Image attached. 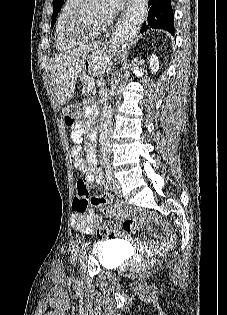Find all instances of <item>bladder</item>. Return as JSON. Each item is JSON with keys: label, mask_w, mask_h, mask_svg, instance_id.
Wrapping results in <instances>:
<instances>
[{"label": "bladder", "mask_w": 227, "mask_h": 315, "mask_svg": "<svg viewBox=\"0 0 227 315\" xmlns=\"http://www.w3.org/2000/svg\"><path fill=\"white\" fill-rule=\"evenodd\" d=\"M93 255L99 265L113 269L125 259V249L113 241L98 242L93 247Z\"/></svg>", "instance_id": "31cf9c89"}]
</instances>
